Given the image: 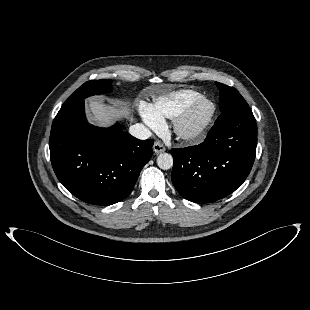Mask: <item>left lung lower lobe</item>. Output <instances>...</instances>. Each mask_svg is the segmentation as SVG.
Returning <instances> with one entry per match:
<instances>
[{"label":"left lung lower lobe","mask_w":310,"mask_h":310,"mask_svg":"<svg viewBox=\"0 0 310 310\" xmlns=\"http://www.w3.org/2000/svg\"><path fill=\"white\" fill-rule=\"evenodd\" d=\"M257 128L250 108L217 119L200 145L173 148L172 182L195 203L217 201L245 181L255 159Z\"/></svg>","instance_id":"1"}]
</instances>
